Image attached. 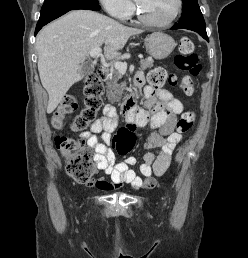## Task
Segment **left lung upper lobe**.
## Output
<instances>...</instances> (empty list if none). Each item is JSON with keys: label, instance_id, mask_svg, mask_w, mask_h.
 <instances>
[{"label": "left lung upper lobe", "instance_id": "5c2ea615", "mask_svg": "<svg viewBox=\"0 0 248 258\" xmlns=\"http://www.w3.org/2000/svg\"><path fill=\"white\" fill-rule=\"evenodd\" d=\"M182 1L184 5V10L182 12V16L179 21L180 25H184L193 21L203 20V15L201 13L197 0H182Z\"/></svg>", "mask_w": 248, "mask_h": 258}]
</instances>
